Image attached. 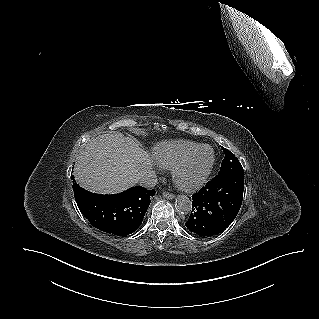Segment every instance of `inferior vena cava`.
Masks as SVG:
<instances>
[{"instance_id":"obj_1","label":"inferior vena cava","mask_w":319,"mask_h":319,"mask_svg":"<svg viewBox=\"0 0 319 319\" xmlns=\"http://www.w3.org/2000/svg\"><path fill=\"white\" fill-rule=\"evenodd\" d=\"M139 183L141 186L146 188L154 187L157 184L156 173L152 170L147 171L141 176Z\"/></svg>"}]
</instances>
